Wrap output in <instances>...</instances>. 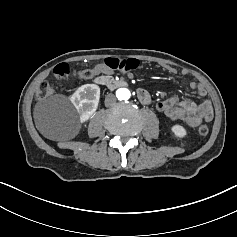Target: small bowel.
Here are the masks:
<instances>
[{"instance_id": "1", "label": "small bowel", "mask_w": 237, "mask_h": 237, "mask_svg": "<svg viewBox=\"0 0 237 237\" xmlns=\"http://www.w3.org/2000/svg\"><path fill=\"white\" fill-rule=\"evenodd\" d=\"M165 69L170 74L177 73V69L173 66H165ZM112 69L104 63H99L91 69L82 70L79 72V77L82 79H91L100 74H110ZM183 74H188L187 70ZM190 87L196 89L201 97L207 95L205 86L195 80L190 82ZM139 102L143 105H151L152 97L150 93L140 88L136 92ZM156 109L168 117L171 121H181L190 127H196L202 122H209L213 119V107L210 100H204L201 103H195L189 100H180L177 97H171L166 100L156 102Z\"/></svg>"}]
</instances>
